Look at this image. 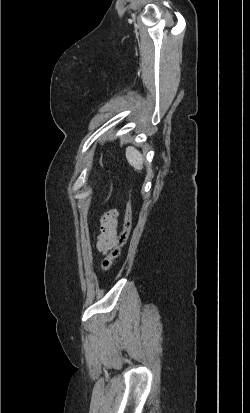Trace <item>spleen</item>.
<instances>
[{
	"instance_id": "1",
	"label": "spleen",
	"mask_w": 250,
	"mask_h": 413,
	"mask_svg": "<svg viewBox=\"0 0 250 413\" xmlns=\"http://www.w3.org/2000/svg\"><path fill=\"white\" fill-rule=\"evenodd\" d=\"M126 158L128 163L136 170H142L143 168V156L142 154L132 146L126 148Z\"/></svg>"
}]
</instances>
